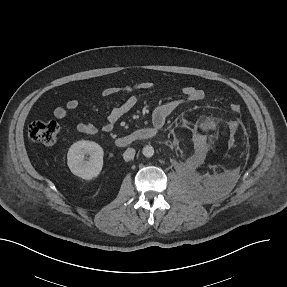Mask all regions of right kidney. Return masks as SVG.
<instances>
[{"mask_svg":"<svg viewBox=\"0 0 287 287\" xmlns=\"http://www.w3.org/2000/svg\"><path fill=\"white\" fill-rule=\"evenodd\" d=\"M90 156L85 160V156ZM104 151L93 141H77L72 144L67 154V164L71 172L85 180L96 178L103 167Z\"/></svg>","mask_w":287,"mask_h":287,"instance_id":"right-kidney-1","label":"right kidney"}]
</instances>
